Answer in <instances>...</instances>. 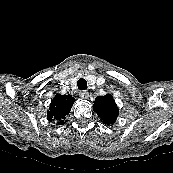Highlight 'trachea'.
<instances>
[{"instance_id":"trachea-1","label":"trachea","mask_w":173,"mask_h":173,"mask_svg":"<svg viewBox=\"0 0 173 173\" xmlns=\"http://www.w3.org/2000/svg\"><path fill=\"white\" fill-rule=\"evenodd\" d=\"M77 86H78V89L85 90V89H87V81L83 78H80L77 81Z\"/></svg>"}]
</instances>
